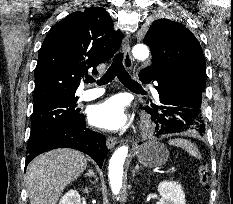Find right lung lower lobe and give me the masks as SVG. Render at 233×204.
I'll list each match as a JSON object with an SVG mask.
<instances>
[{
    "instance_id": "right-lung-lower-lobe-1",
    "label": "right lung lower lobe",
    "mask_w": 233,
    "mask_h": 204,
    "mask_svg": "<svg viewBox=\"0 0 233 204\" xmlns=\"http://www.w3.org/2000/svg\"><path fill=\"white\" fill-rule=\"evenodd\" d=\"M106 138L85 126L84 116L77 123L46 137L40 143L28 148L25 167L37 155L56 148H73L82 151L93 158L99 167L108 153Z\"/></svg>"
}]
</instances>
